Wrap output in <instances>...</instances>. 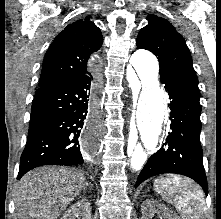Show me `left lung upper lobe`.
<instances>
[{
  "instance_id": "obj_1",
  "label": "left lung upper lobe",
  "mask_w": 221,
  "mask_h": 219,
  "mask_svg": "<svg viewBox=\"0 0 221 219\" xmlns=\"http://www.w3.org/2000/svg\"><path fill=\"white\" fill-rule=\"evenodd\" d=\"M147 20L148 25L140 30L136 44L157 56L161 81L169 79L199 93L198 78L183 37L163 18L149 14Z\"/></svg>"
}]
</instances>
